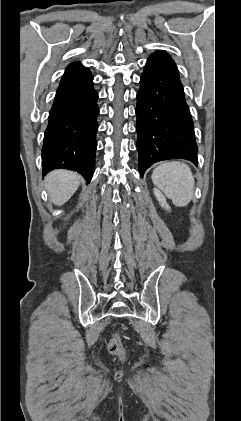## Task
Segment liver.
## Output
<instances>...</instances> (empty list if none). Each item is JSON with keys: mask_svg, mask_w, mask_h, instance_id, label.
<instances>
[{"mask_svg": "<svg viewBox=\"0 0 241 421\" xmlns=\"http://www.w3.org/2000/svg\"><path fill=\"white\" fill-rule=\"evenodd\" d=\"M81 176L67 170H54L45 177V187L50 201L61 206L67 202L78 189Z\"/></svg>", "mask_w": 241, "mask_h": 421, "instance_id": "1", "label": "liver"}]
</instances>
